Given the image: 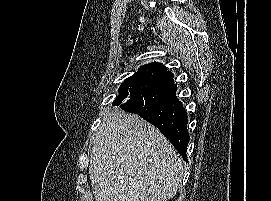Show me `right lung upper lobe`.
I'll use <instances>...</instances> for the list:
<instances>
[{
    "label": "right lung upper lobe",
    "mask_w": 271,
    "mask_h": 201,
    "mask_svg": "<svg viewBox=\"0 0 271 201\" xmlns=\"http://www.w3.org/2000/svg\"><path fill=\"white\" fill-rule=\"evenodd\" d=\"M157 64H158V63H156V62H152V63H150V64L143 65V66L140 67L139 71H147V72H150V69H151L152 67H154L155 65H157Z\"/></svg>",
    "instance_id": "obj_1"
}]
</instances>
